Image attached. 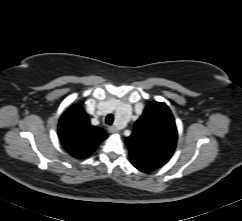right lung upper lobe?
I'll return each instance as SVG.
<instances>
[{
  "instance_id": "cb5924a9",
  "label": "right lung upper lobe",
  "mask_w": 242,
  "mask_h": 221,
  "mask_svg": "<svg viewBox=\"0 0 242 221\" xmlns=\"http://www.w3.org/2000/svg\"><path fill=\"white\" fill-rule=\"evenodd\" d=\"M58 134L65 150L78 159L89 156L107 138L101 128L90 124L86 112L79 106L68 109L61 116Z\"/></svg>"
}]
</instances>
